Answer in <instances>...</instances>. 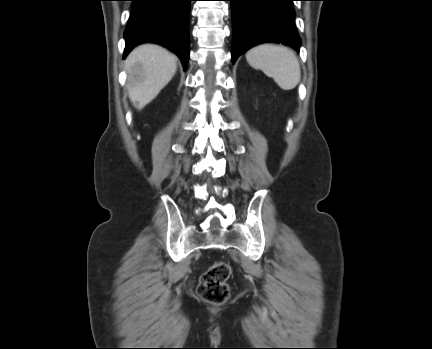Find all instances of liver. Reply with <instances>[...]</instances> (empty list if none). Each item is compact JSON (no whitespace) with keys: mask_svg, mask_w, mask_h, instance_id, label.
Listing matches in <instances>:
<instances>
[{"mask_svg":"<svg viewBox=\"0 0 432 349\" xmlns=\"http://www.w3.org/2000/svg\"><path fill=\"white\" fill-rule=\"evenodd\" d=\"M177 69L176 56L166 49L143 44L134 48L125 60L129 98L143 109L170 82Z\"/></svg>","mask_w":432,"mask_h":349,"instance_id":"1","label":"liver"}]
</instances>
